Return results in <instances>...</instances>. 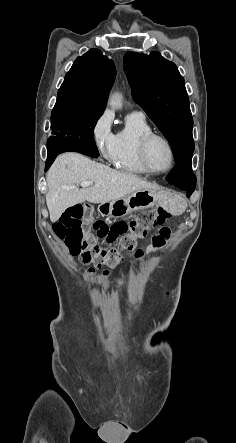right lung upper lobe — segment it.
Here are the masks:
<instances>
[{"label": "right lung upper lobe", "mask_w": 236, "mask_h": 443, "mask_svg": "<svg viewBox=\"0 0 236 443\" xmlns=\"http://www.w3.org/2000/svg\"><path fill=\"white\" fill-rule=\"evenodd\" d=\"M115 77L113 61L100 50L91 49L78 57L66 74L55 106L103 111Z\"/></svg>", "instance_id": "right-lung-upper-lobe-1"}]
</instances>
